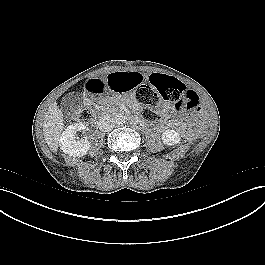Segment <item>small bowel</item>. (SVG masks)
<instances>
[{
    "label": "small bowel",
    "instance_id": "small-bowel-1",
    "mask_svg": "<svg viewBox=\"0 0 265 265\" xmlns=\"http://www.w3.org/2000/svg\"><path fill=\"white\" fill-rule=\"evenodd\" d=\"M143 75L139 71H130L126 73H115L105 78H94L88 82L87 88L91 94H101L104 89H112L115 92L121 93L126 90L134 89L143 82ZM172 107L170 105H164L161 111V118L167 119L170 115ZM173 127L179 126L178 122L171 124Z\"/></svg>",
    "mask_w": 265,
    "mask_h": 265
}]
</instances>
